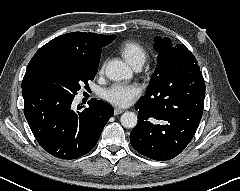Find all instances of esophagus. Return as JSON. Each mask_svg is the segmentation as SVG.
Segmentation results:
<instances>
[{
    "instance_id": "obj_1",
    "label": "esophagus",
    "mask_w": 240,
    "mask_h": 191,
    "mask_svg": "<svg viewBox=\"0 0 240 191\" xmlns=\"http://www.w3.org/2000/svg\"><path fill=\"white\" fill-rule=\"evenodd\" d=\"M123 111H124V110L121 109V108H115V109H114V115H119V114H121Z\"/></svg>"
}]
</instances>
